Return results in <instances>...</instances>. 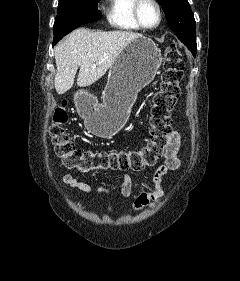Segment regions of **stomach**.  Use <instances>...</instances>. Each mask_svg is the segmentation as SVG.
<instances>
[{"instance_id": "stomach-1", "label": "stomach", "mask_w": 240, "mask_h": 281, "mask_svg": "<svg viewBox=\"0 0 240 281\" xmlns=\"http://www.w3.org/2000/svg\"><path fill=\"white\" fill-rule=\"evenodd\" d=\"M161 62V52L150 38L132 40L110 67L102 103L86 91L77 94V111L87 130L98 137L113 136L125 124L138 92L153 81Z\"/></svg>"}]
</instances>
